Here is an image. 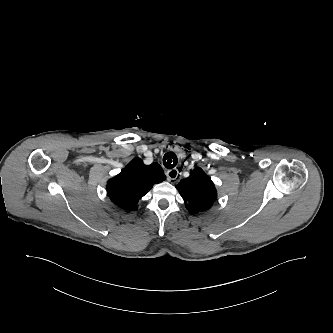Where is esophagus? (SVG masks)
Returning <instances> with one entry per match:
<instances>
[{
  "label": "esophagus",
  "mask_w": 333,
  "mask_h": 333,
  "mask_svg": "<svg viewBox=\"0 0 333 333\" xmlns=\"http://www.w3.org/2000/svg\"><path fill=\"white\" fill-rule=\"evenodd\" d=\"M180 166L174 169H170L167 171V178L171 182H177L181 179V173L179 172Z\"/></svg>",
  "instance_id": "34e87169"
}]
</instances>
